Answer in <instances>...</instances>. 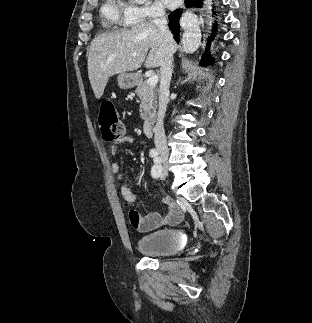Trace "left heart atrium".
<instances>
[{"mask_svg": "<svg viewBox=\"0 0 312 323\" xmlns=\"http://www.w3.org/2000/svg\"><path fill=\"white\" fill-rule=\"evenodd\" d=\"M164 8H179V4H183V0H161Z\"/></svg>", "mask_w": 312, "mask_h": 323, "instance_id": "left-heart-atrium-1", "label": "left heart atrium"}]
</instances>
